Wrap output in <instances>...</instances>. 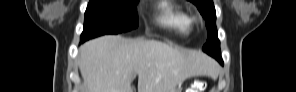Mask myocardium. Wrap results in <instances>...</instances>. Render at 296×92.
Wrapping results in <instances>:
<instances>
[{
    "label": "myocardium",
    "instance_id": "myocardium-1",
    "mask_svg": "<svg viewBox=\"0 0 296 92\" xmlns=\"http://www.w3.org/2000/svg\"><path fill=\"white\" fill-rule=\"evenodd\" d=\"M191 21H193L194 23L199 22V18L197 16H194Z\"/></svg>",
    "mask_w": 296,
    "mask_h": 92
}]
</instances>
